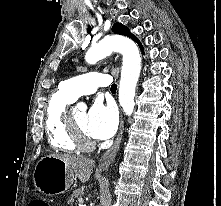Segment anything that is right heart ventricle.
Listing matches in <instances>:
<instances>
[{"label":"right heart ventricle","mask_w":221,"mask_h":206,"mask_svg":"<svg viewBox=\"0 0 221 206\" xmlns=\"http://www.w3.org/2000/svg\"><path fill=\"white\" fill-rule=\"evenodd\" d=\"M74 101L60 85L59 89L51 95L46 109L45 124L48 141L54 149L68 153L78 150L67 119V107Z\"/></svg>","instance_id":"obj_1"}]
</instances>
